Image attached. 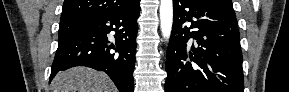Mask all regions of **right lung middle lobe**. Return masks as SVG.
I'll use <instances>...</instances> for the list:
<instances>
[{
    "mask_svg": "<svg viewBox=\"0 0 289 92\" xmlns=\"http://www.w3.org/2000/svg\"><path fill=\"white\" fill-rule=\"evenodd\" d=\"M80 24L61 25L59 28V38L73 32Z\"/></svg>",
    "mask_w": 289,
    "mask_h": 92,
    "instance_id": "1",
    "label": "right lung middle lobe"
}]
</instances>
